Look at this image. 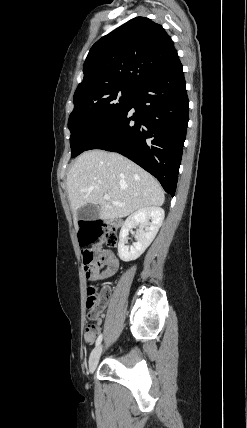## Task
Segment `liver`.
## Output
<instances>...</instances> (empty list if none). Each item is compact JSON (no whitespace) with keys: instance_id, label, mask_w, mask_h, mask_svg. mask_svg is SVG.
I'll return each instance as SVG.
<instances>
[{"instance_id":"6515ba94","label":"liver","mask_w":247,"mask_h":428,"mask_svg":"<svg viewBox=\"0 0 247 428\" xmlns=\"http://www.w3.org/2000/svg\"><path fill=\"white\" fill-rule=\"evenodd\" d=\"M67 190L75 220L78 209L87 204L98 205L99 217L108 220L162 206L165 200L152 175L120 154L103 150L86 151L76 159L67 174ZM105 194L110 200L104 199Z\"/></svg>"}]
</instances>
